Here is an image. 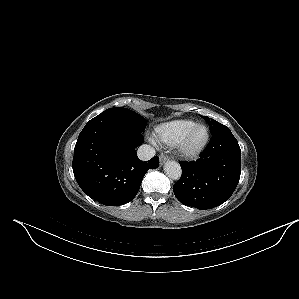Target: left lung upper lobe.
Masks as SVG:
<instances>
[{
    "label": "left lung upper lobe",
    "instance_id": "1",
    "mask_svg": "<svg viewBox=\"0 0 299 299\" xmlns=\"http://www.w3.org/2000/svg\"><path fill=\"white\" fill-rule=\"evenodd\" d=\"M204 119L208 120L207 116H203ZM224 125L220 124L219 122L215 121L214 119H212L210 121V131L211 133H215L216 131H218L219 129L223 128Z\"/></svg>",
    "mask_w": 299,
    "mask_h": 299
}]
</instances>
